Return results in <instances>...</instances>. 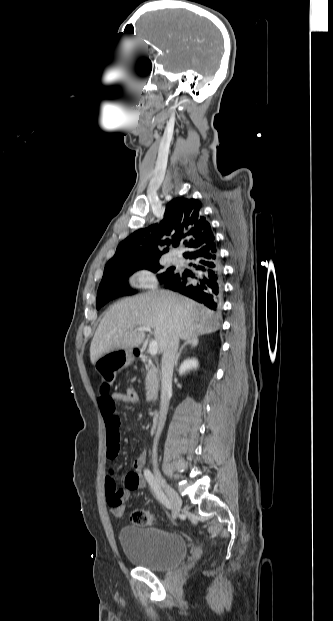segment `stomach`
I'll use <instances>...</instances> for the list:
<instances>
[{"mask_svg": "<svg viewBox=\"0 0 333 621\" xmlns=\"http://www.w3.org/2000/svg\"><path fill=\"white\" fill-rule=\"evenodd\" d=\"M133 361L134 355L132 349L114 347L108 351V354L99 358L94 367L100 376L112 379L118 371Z\"/></svg>", "mask_w": 333, "mask_h": 621, "instance_id": "0dacf381", "label": "stomach"}]
</instances>
